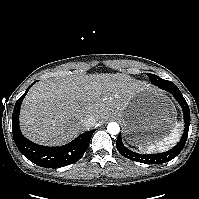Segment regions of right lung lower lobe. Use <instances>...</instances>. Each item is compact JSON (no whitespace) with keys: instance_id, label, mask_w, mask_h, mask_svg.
<instances>
[{"instance_id":"obj_1","label":"right lung lower lobe","mask_w":199,"mask_h":199,"mask_svg":"<svg viewBox=\"0 0 199 199\" xmlns=\"http://www.w3.org/2000/svg\"><path fill=\"white\" fill-rule=\"evenodd\" d=\"M34 83L17 100L13 110L12 132L17 148L27 159L42 167L59 168L75 163L84 155L95 130L87 131L72 142L60 147L41 146L29 141L22 135L19 128L20 107L25 95Z\"/></svg>"}]
</instances>
